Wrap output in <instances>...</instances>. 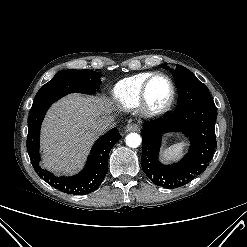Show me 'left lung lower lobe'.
<instances>
[{"mask_svg":"<svg viewBox=\"0 0 247 247\" xmlns=\"http://www.w3.org/2000/svg\"><path fill=\"white\" fill-rule=\"evenodd\" d=\"M214 102L190 105L165 117L143 124L141 166L147 177L157 186L177 188L201 174L212 160L217 146ZM166 132H180L189 138L188 154L178 163L159 162L161 136Z\"/></svg>","mask_w":247,"mask_h":247,"instance_id":"obj_1","label":"left lung lower lobe"}]
</instances>
